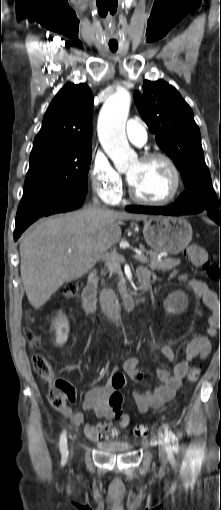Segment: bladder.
Masks as SVG:
<instances>
[{
	"label": "bladder",
	"mask_w": 221,
	"mask_h": 510,
	"mask_svg": "<svg viewBox=\"0 0 221 510\" xmlns=\"http://www.w3.org/2000/svg\"><path fill=\"white\" fill-rule=\"evenodd\" d=\"M99 447L104 450L111 453H122L132 450L133 446L130 443L126 442H106V443H100Z\"/></svg>",
	"instance_id": "1"
}]
</instances>
